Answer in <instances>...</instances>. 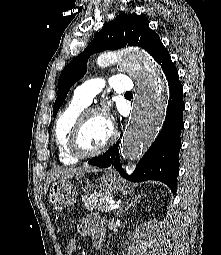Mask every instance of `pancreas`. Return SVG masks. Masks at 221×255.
<instances>
[{
    "mask_svg": "<svg viewBox=\"0 0 221 255\" xmlns=\"http://www.w3.org/2000/svg\"><path fill=\"white\" fill-rule=\"evenodd\" d=\"M112 194L107 191L94 192L92 194L86 195L83 198L85 208L87 210L93 211L98 210L101 212H108L109 204L106 202L107 199H111Z\"/></svg>",
    "mask_w": 221,
    "mask_h": 255,
    "instance_id": "cf45deb5",
    "label": "pancreas"
}]
</instances>
